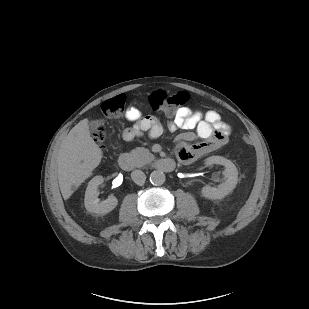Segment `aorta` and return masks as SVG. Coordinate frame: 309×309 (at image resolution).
Listing matches in <instances>:
<instances>
[{
	"label": "aorta",
	"mask_w": 309,
	"mask_h": 309,
	"mask_svg": "<svg viewBox=\"0 0 309 309\" xmlns=\"http://www.w3.org/2000/svg\"><path fill=\"white\" fill-rule=\"evenodd\" d=\"M165 174L162 171H153L150 174V182L155 186H160L165 182Z\"/></svg>",
	"instance_id": "aorta-1"
}]
</instances>
